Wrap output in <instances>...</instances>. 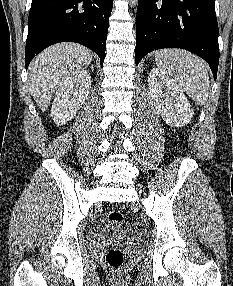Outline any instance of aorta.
<instances>
[{
  "label": "aorta",
  "instance_id": "762f6f07",
  "mask_svg": "<svg viewBox=\"0 0 233 286\" xmlns=\"http://www.w3.org/2000/svg\"><path fill=\"white\" fill-rule=\"evenodd\" d=\"M130 1V6L134 7L137 5L138 0H129Z\"/></svg>",
  "mask_w": 233,
  "mask_h": 286
}]
</instances>
